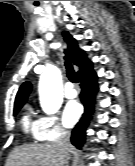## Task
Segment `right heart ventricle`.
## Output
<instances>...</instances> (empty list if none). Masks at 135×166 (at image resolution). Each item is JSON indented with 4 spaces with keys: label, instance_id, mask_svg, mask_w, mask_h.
<instances>
[{
    "label": "right heart ventricle",
    "instance_id": "obj_1",
    "mask_svg": "<svg viewBox=\"0 0 135 166\" xmlns=\"http://www.w3.org/2000/svg\"><path fill=\"white\" fill-rule=\"evenodd\" d=\"M21 126L24 133L35 140H39V119H36L33 113V109L28 106L21 118Z\"/></svg>",
    "mask_w": 135,
    "mask_h": 166
}]
</instances>
